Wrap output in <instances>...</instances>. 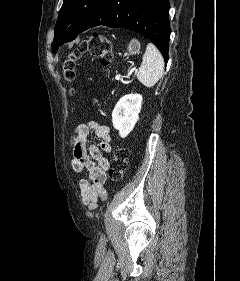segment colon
<instances>
[{"instance_id": "5ec220e1", "label": "colon", "mask_w": 240, "mask_h": 281, "mask_svg": "<svg viewBox=\"0 0 240 281\" xmlns=\"http://www.w3.org/2000/svg\"><path fill=\"white\" fill-rule=\"evenodd\" d=\"M84 53H90L100 59V62L109 67L113 61L112 44L110 39L93 33L86 41L78 45L77 48L68 52L62 62L64 78L72 81L75 77L76 61ZM128 163V150L124 147H118L114 154L109 168V177L113 182H119L125 173Z\"/></svg>"}]
</instances>
